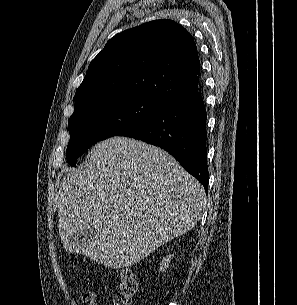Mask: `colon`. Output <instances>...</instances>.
<instances>
[{"instance_id": "5ec220e1", "label": "colon", "mask_w": 297, "mask_h": 305, "mask_svg": "<svg viewBox=\"0 0 297 305\" xmlns=\"http://www.w3.org/2000/svg\"><path fill=\"white\" fill-rule=\"evenodd\" d=\"M138 292V284L134 272L125 268L120 273L118 291L115 295L114 305H134Z\"/></svg>"}]
</instances>
